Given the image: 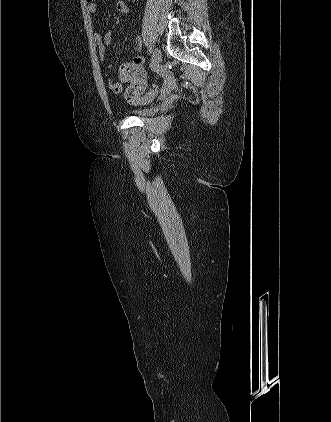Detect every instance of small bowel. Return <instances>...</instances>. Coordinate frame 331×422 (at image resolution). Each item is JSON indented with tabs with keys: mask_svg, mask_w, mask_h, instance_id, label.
Here are the masks:
<instances>
[{
	"mask_svg": "<svg viewBox=\"0 0 331 422\" xmlns=\"http://www.w3.org/2000/svg\"><path fill=\"white\" fill-rule=\"evenodd\" d=\"M116 9L119 13L127 17L129 15L130 9L128 5L126 4L125 0H114ZM88 3V11L91 14H95L99 10V4L96 2V0H87ZM112 30H108L105 35H101L98 32H95L93 34V39L97 45V51L98 55L101 59H104L107 54V47L110 45L112 40ZM143 46V41L140 37L135 38V48L137 50H140ZM144 57L143 56H136L132 59V62L136 66H141L144 63ZM111 68V66H109ZM159 71V70H158ZM124 83H129V88H133L135 90V99L129 100L130 102L134 104H142L146 102L152 95V92L145 95L147 83H146V77L143 79H126V80H120L118 82H109L110 89L116 93L120 94L124 90ZM127 89V90H128Z\"/></svg>",
	"mask_w": 331,
	"mask_h": 422,
	"instance_id": "small-bowel-1",
	"label": "small bowel"
}]
</instances>
